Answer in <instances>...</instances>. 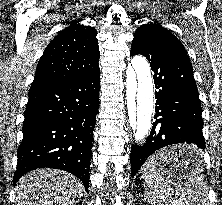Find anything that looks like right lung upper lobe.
I'll return each mask as SVG.
<instances>
[{
    "label": "right lung upper lobe",
    "instance_id": "1",
    "mask_svg": "<svg viewBox=\"0 0 222 205\" xmlns=\"http://www.w3.org/2000/svg\"><path fill=\"white\" fill-rule=\"evenodd\" d=\"M79 21H72L47 46L32 86L81 77L99 67L97 32Z\"/></svg>",
    "mask_w": 222,
    "mask_h": 205
}]
</instances>
